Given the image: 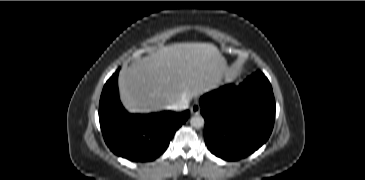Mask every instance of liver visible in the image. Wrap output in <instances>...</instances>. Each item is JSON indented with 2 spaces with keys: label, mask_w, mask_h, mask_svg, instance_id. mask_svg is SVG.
<instances>
[{
  "label": "liver",
  "mask_w": 365,
  "mask_h": 180,
  "mask_svg": "<svg viewBox=\"0 0 365 180\" xmlns=\"http://www.w3.org/2000/svg\"><path fill=\"white\" fill-rule=\"evenodd\" d=\"M229 74L214 44L176 43L125 68L119 76L120 97L132 113L159 111L215 88Z\"/></svg>",
  "instance_id": "liver-1"
}]
</instances>
